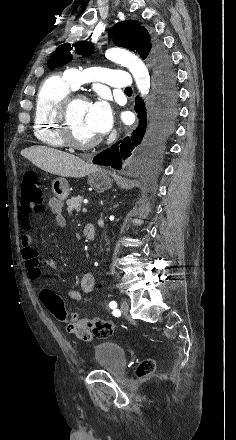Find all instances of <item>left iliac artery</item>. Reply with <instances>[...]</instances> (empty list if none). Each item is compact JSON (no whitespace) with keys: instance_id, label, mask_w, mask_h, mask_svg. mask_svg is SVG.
<instances>
[{"instance_id":"44dca946","label":"left iliac artery","mask_w":236,"mask_h":440,"mask_svg":"<svg viewBox=\"0 0 236 440\" xmlns=\"http://www.w3.org/2000/svg\"><path fill=\"white\" fill-rule=\"evenodd\" d=\"M109 307H110L111 309H114V310H113V315L116 316V315L118 314V310L116 309V308H117V303H116L115 301H111V302L109 303Z\"/></svg>"}]
</instances>
